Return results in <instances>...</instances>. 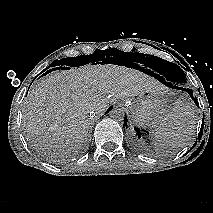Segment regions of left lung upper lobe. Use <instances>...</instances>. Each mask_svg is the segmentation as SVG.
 <instances>
[{"instance_id":"1","label":"left lung upper lobe","mask_w":213,"mask_h":213,"mask_svg":"<svg viewBox=\"0 0 213 213\" xmlns=\"http://www.w3.org/2000/svg\"><path fill=\"white\" fill-rule=\"evenodd\" d=\"M149 59L153 63L155 70L161 71L170 77L175 84L182 85L186 83V75L184 71L175 63L168 62L156 56H150Z\"/></svg>"}]
</instances>
